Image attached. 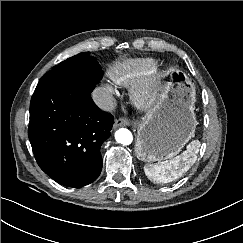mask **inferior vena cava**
Segmentation results:
<instances>
[{"mask_svg":"<svg viewBox=\"0 0 243 243\" xmlns=\"http://www.w3.org/2000/svg\"><path fill=\"white\" fill-rule=\"evenodd\" d=\"M94 103L102 110L112 111L116 107L114 97L107 91L97 88L92 93Z\"/></svg>","mask_w":243,"mask_h":243,"instance_id":"1","label":"inferior vena cava"}]
</instances>
